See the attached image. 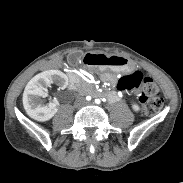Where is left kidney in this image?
Instances as JSON below:
<instances>
[{
	"label": "left kidney",
	"mask_w": 183,
	"mask_h": 183,
	"mask_svg": "<svg viewBox=\"0 0 183 183\" xmlns=\"http://www.w3.org/2000/svg\"><path fill=\"white\" fill-rule=\"evenodd\" d=\"M132 109H133L134 111H136V112H138V111L140 110L138 104H136V103H133V104H132Z\"/></svg>",
	"instance_id": "obj_1"
}]
</instances>
